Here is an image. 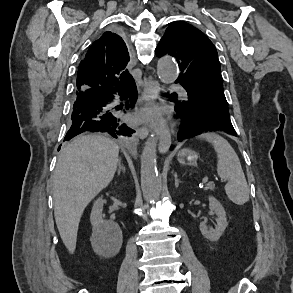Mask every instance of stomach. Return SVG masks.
Segmentation results:
<instances>
[{"label": "stomach", "mask_w": 293, "mask_h": 293, "mask_svg": "<svg viewBox=\"0 0 293 293\" xmlns=\"http://www.w3.org/2000/svg\"><path fill=\"white\" fill-rule=\"evenodd\" d=\"M177 159L181 164L193 166L197 163L198 154L191 149L185 148L178 152Z\"/></svg>", "instance_id": "0dacf381"}]
</instances>
